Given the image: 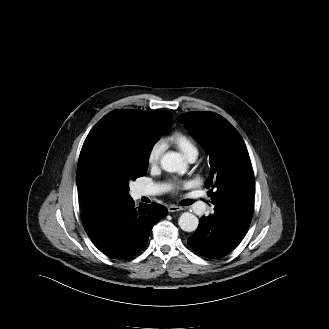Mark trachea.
Returning <instances> with one entry per match:
<instances>
[{
	"mask_svg": "<svg viewBox=\"0 0 329 329\" xmlns=\"http://www.w3.org/2000/svg\"><path fill=\"white\" fill-rule=\"evenodd\" d=\"M193 202V200H187V205H190Z\"/></svg>",
	"mask_w": 329,
	"mask_h": 329,
	"instance_id": "1",
	"label": "trachea"
}]
</instances>
